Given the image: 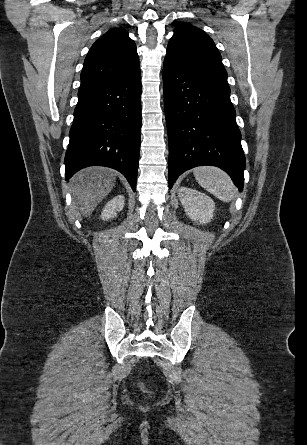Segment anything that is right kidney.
<instances>
[{
    "label": "right kidney",
    "instance_id": "ca27d5eb",
    "mask_svg": "<svg viewBox=\"0 0 307 445\" xmlns=\"http://www.w3.org/2000/svg\"><path fill=\"white\" fill-rule=\"evenodd\" d=\"M124 198L125 196H123V194H117V196H114V198L108 200L102 210V220H108V218H113V216H116L118 210H122L125 204Z\"/></svg>",
    "mask_w": 307,
    "mask_h": 445
}]
</instances>
